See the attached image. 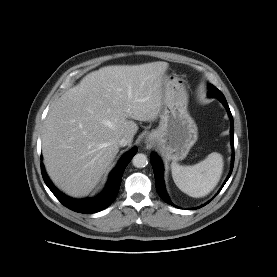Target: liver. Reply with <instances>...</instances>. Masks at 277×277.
Returning a JSON list of instances; mask_svg holds the SVG:
<instances>
[{"instance_id": "obj_1", "label": "liver", "mask_w": 277, "mask_h": 277, "mask_svg": "<svg viewBox=\"0 0 277 277\" xmlns=\"http://www.w3.org/2000/svg\"><path fill=\"white\" fill-rule=\"evenodd\" d=\"M167 62L102 67L87 74L52 105L42 153L53 183L73 197L88 195L119 152L133 140V120L154 121L164 98ZM129 143V144H130Z\"/></svg>"}]
</instances>
